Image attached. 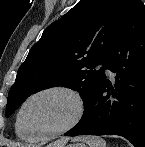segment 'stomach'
I'll use <instances>...</instances> for the list:
<instances>
[{
	"instance_id": "1",
	"label": "stomach",
	"mask_w": 145,
	"mask_h": 147,
	"mask_svg": "<svg viewBox=\"0 0 145 147\" xmlns=\"http://www.w3.org/2000/svg\"><path fill=\"white\" fill-rule=\"evenodd\" d=\"M68 147H84L82 144H71Z\"/></svg>"
}]
</instances>
